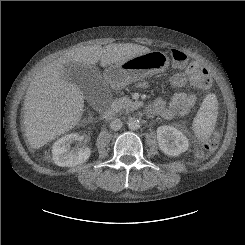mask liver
Masks as SVG:
<instances>
[{
	"mask_svg": "<svg viewBox=\"0 0 245 245\" xmlns=\"http://www.w3.org/2000/svg\"><path fill=\"white\" fill-rule=\"evenodd\" d=\"M145 46L121 43L76 48L44 66L31 81L24 101V128L29 145L39 149L73 129L84 112V96L69 82L65 67L70 63L89 67L100 61L101 66L123 63L150 52Z\"/></svg>",
	"mask_w": 245,
	"mask_h": 245,
	"instance_id": "6515ba94",
	"label": "liver"
}]
</instances>
